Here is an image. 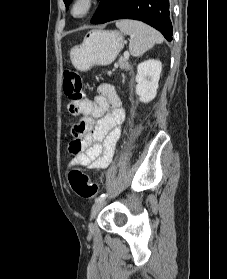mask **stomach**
<instances>
[{
	"label": "stomach",
	"instance_id": "obj_1",
	"mask_svg": "<svg viewBox=\"0 0 227 279\" xmlns=\"http://www.w3.org/2000/svg\"><path fill=\"white\" fill-rule=\"evenodd\" d=\"M124 47L123 36L118 31L92 30L82 44L70 50L73 66L88 71L93 66L110 65Z\"/></svg>",
	"mask_w": 227,
	"mask_h": 279
}]
</instances>
